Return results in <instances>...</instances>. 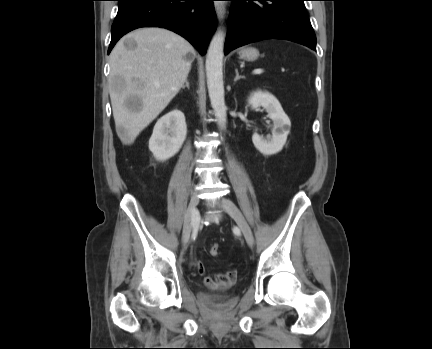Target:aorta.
Wrapping results in <instances>:
<instances>
[{
	"instance_id": "762f6f07",
	"label": "aorta",
	"mask_w": 432,
	"mask_h": 349,
	"mask_svg": "<svg viewBox=\"0 0 432 349\" xmlns=\"http://www.w3.org/2000/svg\"><path fill=\"white\" fill-rule=\"evenodd\" d=\"M224 40V32L219 29L210 42L205 62L209 98L221 129L227 122L223 85Z\"/></svg>"
}]
</instances>
